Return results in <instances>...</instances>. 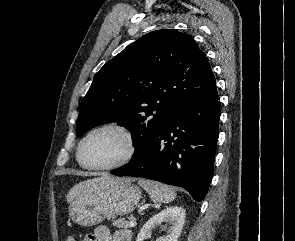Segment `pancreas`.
I'll return each mask as SVG.
<instances>
[{"label": "pancreas", "mask_w": 295, "mask_h": 241, "mask_svg": "<svg viewBox=\"0 0 295 241\" xmlns=\"http://www.w3.org/2000/svg\"><path fill=\"white\" fill-rule=\"evenodd\" d=\"M113 226H116L117 228H123V229H130L129 222L126 221L124 218L116 219L115 217L112 220Z\"/></svg>", "instance_id": "1"}]
</instances>
